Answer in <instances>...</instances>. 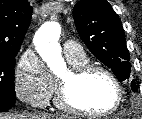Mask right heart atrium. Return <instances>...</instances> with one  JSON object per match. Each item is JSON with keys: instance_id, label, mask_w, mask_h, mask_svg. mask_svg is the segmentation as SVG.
<instances>
[{"instance_id": "obj_1", "label": "right heart atrium", "mask_w": 142, "mask_h": 119, "mask_svg": "<svg viewBox=\"0 0 142 119\" xmlns=\"http://www.w3.org/2000/svg\"><path fill=\"white\" fill-rule=\"evenodd\" d=\"M14 87L20 100L44 107L52 96L54 80L42 60L34 52L26 51L17 64Z\"/></svg>"}]
</instances>
